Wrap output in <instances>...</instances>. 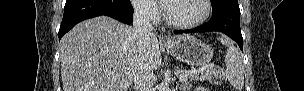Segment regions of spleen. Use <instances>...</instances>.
Here are the masks:
<instances>
[{
    "mask_svg": "<svg viewBox=\"0 0 304 91\" xmlns=\"http://www.w3.org/2000/svg\"><path fill=\"white\" fill-rule=\"evenodd\" d=\"M218 40L227 46L225 55L226 70L222 74L235 89L241 91L244 86L242 54L227 38L221 37Z\"/></svg>",
    "mask_w": 304,
    "mask_h": 91,
    "instance_id": "spleen-1",
    "label": "spleen"
}]
</instances>
